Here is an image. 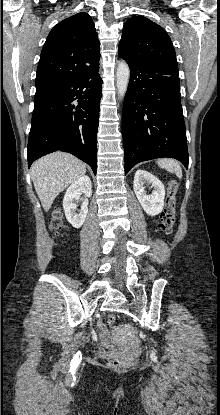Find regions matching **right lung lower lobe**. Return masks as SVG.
Segmentation results:
<instances>
[{"label":"right lung lower lobe","instance_id":"obj_1","mask_svg":"<svg viewBox=\"0 0 220 415\" xmlns=\"http://www.w3.org/2000/svg\"><path fill=\"white\" fill-rule=\"evenodd\" d=\"M94 71L75 76L35 98L27 146L28 166L60 150L97 170V129L102 79Z\"/></svg>","mask_w":220,"mask_h":415}]
</instances>
